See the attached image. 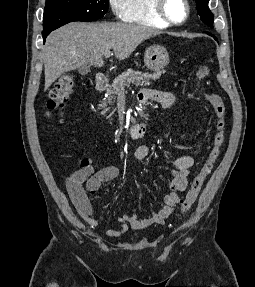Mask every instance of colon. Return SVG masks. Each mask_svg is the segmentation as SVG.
Instances as JSON below:
<instances>
[{
    "mask_svg": "<svg viewBox=\"0 0 255 287\" xmlns=\"http://www.w3.org/2000/svg\"><path fill=\"white\" fill-rule=\"evenodd\" d=\"M209 74V68L207 66H201L197 69L196 76L199 82L203 81ZM74 88V78L71 74L62 75L56 82L53 89L50 92V99L47 103L48 112L50 117L53 114L61 116V109L64 106L68 96L71 94ZM205 97L212 104L216 114V130L213 137V142L209 154L192 181L184 200L181 205V213H185L189 210L191 205L195 202L207 176L212 171L214 164L219 156L221 146L224 142V126H225V106L220 96L212 93H204ZM83 164H87V161H83Z\"/></svg>",
    "mask_w": 255,
    "mask_h": 287,
    "instance_id": "colon-1",
    "label": "colon"
}]
</instances>
